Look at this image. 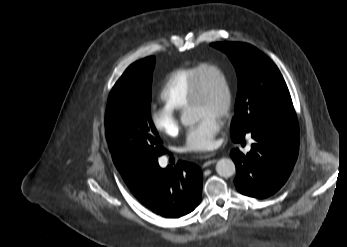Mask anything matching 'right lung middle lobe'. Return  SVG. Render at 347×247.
I'll list each match as a JSON object with an SVG mask.
<instances>
[{
	"label": "right lung middle lobe",
	"instance_id": "dd1d6c3e",
	"mask_svg": "<svg viewBox=\"0 0 347 247\" xmlns=\"http://www.w3.org/2000/svg\"><path fill=\"white\" fill-rule=\"evenodd\" d=\"M154 57L130 65L110 92L106 137L117 169L142 168L164 152L150 116Z\"/></svg>",
	"mask_w": 347,
	"mask_h": 247
}]
</instances>
